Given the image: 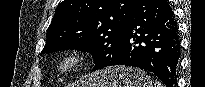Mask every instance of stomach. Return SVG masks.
I'll use <instances>...</instances> for the list:
<instances>
[{"instance_id": "1", "label": "stomach", "mask_w": 205, "mask_h": 87, "mask_svg": "<svg viewBox=\"0 0 205 87\" xmlns=\"http://www.w3.org/2000/svg\"><path fill=\"white\" fill-rule=\"evenodd\" d=\"M79 85L80 87H151V81L146 72L139 68L116 66L90 74Z\"/></svg>"}]
</instances>
